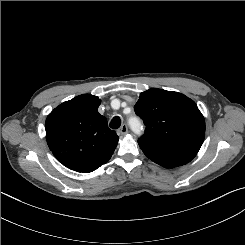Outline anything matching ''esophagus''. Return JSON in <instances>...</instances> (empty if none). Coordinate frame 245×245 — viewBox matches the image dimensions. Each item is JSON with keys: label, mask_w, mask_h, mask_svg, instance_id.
I'll return each mask as SVG.
<instances>
[{"label": "esophagus", "mask_w": 245, "mask_h": 245, "mask_svg": "<svg viewBox=\"0 0 245 245\" xmlns=\"http://www.w3.org/2000/svg\"><path fill=\"white\" fill-rule=\"evenodd\" d=\"M119 135H125L128 133V127L126 124H123L117 131Z\"/></svg>", "instance_id": "esophagus-1"}]
</instances>
